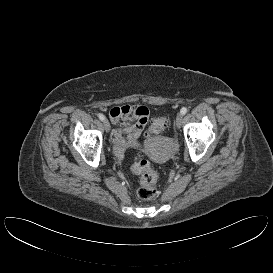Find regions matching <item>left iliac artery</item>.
<instances>
[{"mask_svg":"<svg viewBox=\"0 0 273 273\" xmlns=\"http://www.w3.org/2000/svg\"><path fill=\"white\" fill-rule=\"evenodd\" d=\"M187 111H188L187 107H183L180 112L182 115H185Z\"/></svg>","mask_w":273,"mask_h":273,"instance_id":"obj_1","label":"left iliac artery"}]
</instances>
